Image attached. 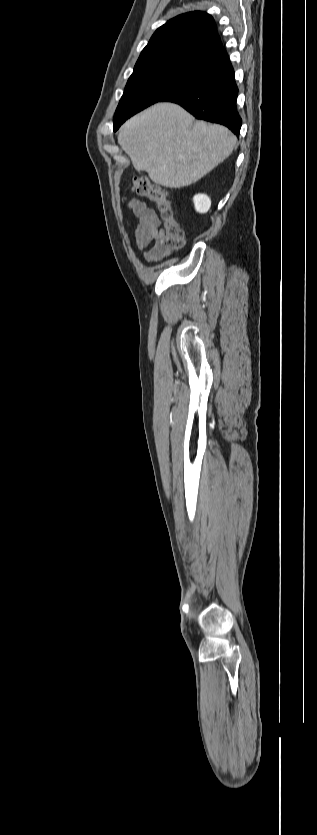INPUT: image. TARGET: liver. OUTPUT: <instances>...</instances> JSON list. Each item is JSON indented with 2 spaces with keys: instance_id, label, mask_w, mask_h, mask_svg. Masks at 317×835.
<instances>
[{
  "instance_id": "liver-1",
  "label": "liver",
  "mask_w": 317,
  "mask_h": 835,
  "mask_svg": "<svg viewBox=\"0 0 317 835\" xmlns=\"http://www.w3.org/2000/svg\"><path fill=\"white\" fill-rule=\"evenodd\" d=\"M237 138L226 127L195 121L174 103H157L127 120L118 143L138 171L160 185L196 182L233 151Z\"/></svg>"
}]
</instances>
